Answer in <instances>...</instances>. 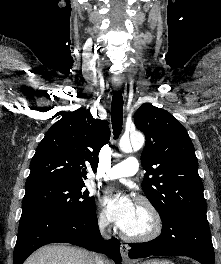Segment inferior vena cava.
Listing matches in <instances>:
<instances>
[{
    "label": "inferior vena cava",
    "mask_w": 221,
    "mask_h": 264,
    "mask_svg": "<svg viewBox=\"0 0 221 264\" xmlns=\"http://www.w3.org/2000/svg\"><path fill=\"white\" fill-rule=\"evenodd\" d=\"M108 222L106 220H100L99 221V227L101 229V234L104 236V238H110V231L105 230L107 227ZM96 264H105L103 257L97 256Z\"/></svg>",
    "instance_id": "obj_1"
}]
</instances>
